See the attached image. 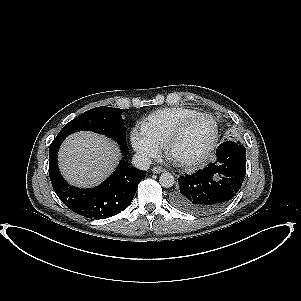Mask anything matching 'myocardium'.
Instances as JSON below:
<instances>
[{"mask_svg":"<svg viewBox=\"0 0 301 301\" xmlns=\"http://www.w3.org/2000/svg\"><path fill=\"white\" fill-rule=\"evenodd\" d=\"M200 118L209 119L213 123V135L210 140V143L199 156L192 158V159L180 161V163L184 164L185 166H189V167L199 166V165L206 163L209 160L211 153L215 149V146L218 141V136H219L218 124H217L216 119L207 113H198L196 115H193V116L187 118L186 120H184L182 123H180L174 129V131L168 136V138L166 139L165 144H164V148H165L167 155L172 156V148H173L174 144L183 136V134L186 131V129L188 128V126Z\"/></svg>","mask_w":301,"mask_h":301,"instance_id":"obj_1","label":"myocardium"}]
</instances>
